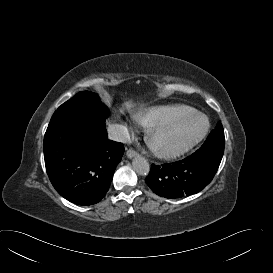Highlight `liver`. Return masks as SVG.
I'll return each mask as SVG.
<instances>
[{
	"label": "liver",
	"mask_w": 273,
	"mask_h": 273,
	"mask_svg": "<svg viewBox=\"0 0 273 273\" xmlns=\"http://www.w3.org/2000/svg\"><path fill=\"white\" fill-rule=\"evenodd\" d=\"M127 108H131L133 105L129 102L126 103Z\"/></svg>",
	"instance_id": "1"
}]
</instances>
